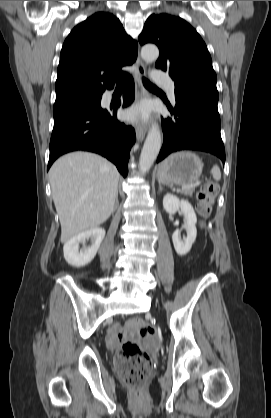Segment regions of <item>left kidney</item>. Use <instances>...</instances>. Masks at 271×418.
<instances>
[{
    "mask_svg": "<svg viewBox=\"0 0 271 418\" xmlns=\"http://www.w3.org/2000/svg\"><path fill=\"white\" fill-rule=\"evenodd\" d=\"M163 207L169 214H175L178 210H181L185 217L184 228L186 229L187 236L181 240L179 230H176L172 235L176 253L180 256H184L190 251L197 235V217L195 211L187 200H180L172 194H166L164 196Z\"/></svg>",
    "mask_w": 271,
    "mask_h": 418,
    "instance_id": "left-kidney-1",
    "label": "left kidney"
}]
</instances>
